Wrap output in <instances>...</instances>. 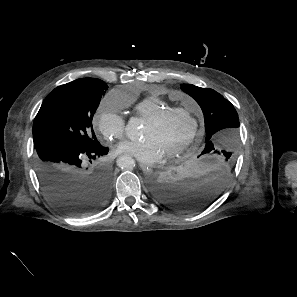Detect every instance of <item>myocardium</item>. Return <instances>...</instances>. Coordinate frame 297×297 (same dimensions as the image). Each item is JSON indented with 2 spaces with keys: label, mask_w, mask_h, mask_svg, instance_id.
<instances>
[{
  "label": "myocardium",
  "mask_w": 297,
  "mask_h": 297,
  "mask_svg": "<svg viewBox=\"0 0 297 297\" xmlns=\"http://www.w3.org/2000/svg\"><path fill=\"white\" fill-rule=\"evenodd\" d=\"M175 114L186 115L192 122V129L190 131L189 136L181 145L167 151L164 154L166 158H173L185 152L195 142V140L199 135L200 128H199V122L196 117V114L187 108H183V107L166 108L160 111L159 113L149 117L146 121L148 123L157 124L163 121L165 118Z\"/></svg>",
  "instance_id": "f54148a6"
}]
</instances>
